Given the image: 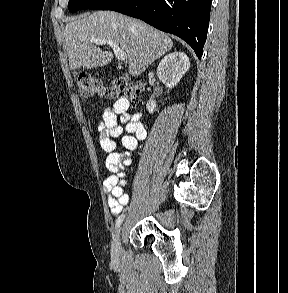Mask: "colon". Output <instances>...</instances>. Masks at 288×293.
<instances>
[{"mask_svg":"<svg viewBox=\"0 0 288 293\" xmlns=\"http://www.w3.org/2000/svg\"><path fill=\"white\" fill-rule=\"evenodd\" d=\"M77 86L81 96L87 100L104 97L107 99H125L130 104L138 102V90L124 81H117L105 86L95 76L82 75L77 80Z\"/></svg>","mask_w":288,"mask_h":293,"instance_id":"obj_1","label":"colon"}]
</instances>
